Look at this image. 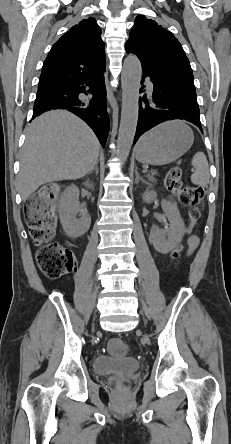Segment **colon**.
I'll use <instances>...</instances> for the list:
<instances>
[{"mask_svg":"<svg viewBox=\"0 0 231 444\" xmlns=\"http://www.w3.org/2000/svg\"><path fill=\"white\" fill-rule=\"evenodd\" d=\"M166 187L176 194L180 202L190 206L188 232L196 225L201 217L200 203L203 201L207 187L203 185L183 186L182 170L179 167L171 168L165 177ZM59 188L56 184H49L34 193L26 202L25 218L34 243L39 246L37 263L41 271L50 279H58L69 273L74 267L72 252L53 242L56 229L55 202ZM182 250L178 246L172 252V258L177 260ZM111 354L122 356L127 353L128 345L121 339H112L108 344ZM120 387L126 388L129 383L123 379Z\"/></svg>","mask_w":231,"mask_h":444,"instance_id":"colon-1","label":"colon"}]
</instances>
